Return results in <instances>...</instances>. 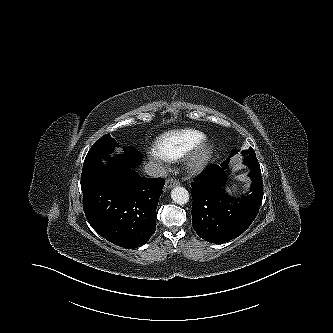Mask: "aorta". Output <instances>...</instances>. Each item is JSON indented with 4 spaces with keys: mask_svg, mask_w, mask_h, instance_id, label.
<instances>
[{
    "mask_svg": "<svg viewBox=\"0 0 333 333\" xmlns=\"http://www.w3.org/2000/svg\"><path fill=\"white\" fill-rule=\"evenodd\" d=\"M171 198L175 203L184 205L189 201V193L184 187L177 186L172 189Z\"/></svg>",
    "mask_w": 333,
    "mask_h": 333,
    "instance_id": "aorta-1",
    "label": "aorta"
}]
</instances>
